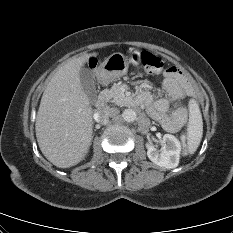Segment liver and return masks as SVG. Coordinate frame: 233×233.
<instances>
[{
    "mask_svg": "<svg viewBox=\"0 0 233 233\" xmlns=\"http://www.w3.org/2000/svg\"><path fill=\"white\" fill-rule=\"evenodd\" d=\"M70 59L51 78L36 117V137L43 155L59 168H69L88 153L93 133V110L79 73L90 57Z\"/></svg>",
    "mask_w": 233,
    "mask_h": 233,
    "instance_id": "6515ba94",
    "label": "liver"
}]
</instances>
